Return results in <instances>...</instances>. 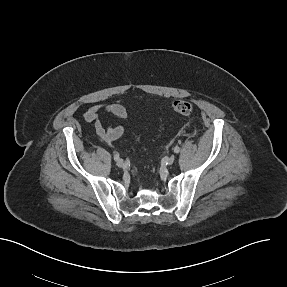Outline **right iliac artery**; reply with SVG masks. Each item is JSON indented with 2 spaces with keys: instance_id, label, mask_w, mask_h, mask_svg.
Returning <instances> with one entry per match:
<instances>
[{
  "instance_id": "1",
  "label": "right iliac artery",
  "mask_w": 287,
  "mask_h": 287,
  "mask_svg": "<svg viewBox=\"0 0 287 287\" xmlns=\"http://www.w3.org/2000/svg\"><path fill=\"white\" fill-rule=\"evenodd\" d=\"M113 158H114L115 161H117L119 159V155L118 154H114Z\"/></svg>"
}]
</instances>
